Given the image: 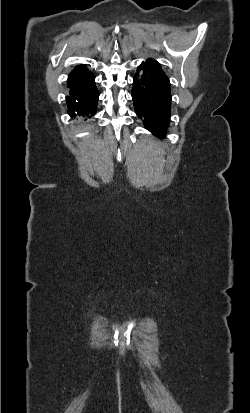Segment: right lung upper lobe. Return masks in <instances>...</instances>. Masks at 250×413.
Instances as JSON below:
<instances>
[{
	"instance_id": "obj_1",
	"label": "right lung upper lobe",
	"mask_w": 250,
	"mask_h": 413,
	"mask_svg": "<svg viewBox=\"0 0 250 413\" xmlns=\"http://www.w3.org/2000/svg\"><path fill=\"white\" fill-rule=\"evenodd\" d=\"M91 74V72L83 65L75 68L69 75L68 82H76Z\"/></svg>"
}]
</instances>
